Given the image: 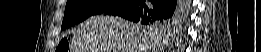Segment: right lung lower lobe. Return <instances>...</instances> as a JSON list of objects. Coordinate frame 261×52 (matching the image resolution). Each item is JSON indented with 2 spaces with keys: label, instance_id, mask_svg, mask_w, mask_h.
<instances>
[{
  "label": "right lung lower lobe",
  "instance_id": "1",
  "mask_svg": "<svg viewBox=\"0 0 261 52\" xmlns=\"http://www.w3.org/2000/svg\"><path fill=\"white\" fill-rule=\"evenodd\" d=\"M147 5L145 0H123L114 7L104 11L107 15H117L128 20L145 25L164 22L172 18L179 3L177 0H150Z\"/></svg>",
  "mask_w": 261,
  "mask_h": 52
}]
</instances>
